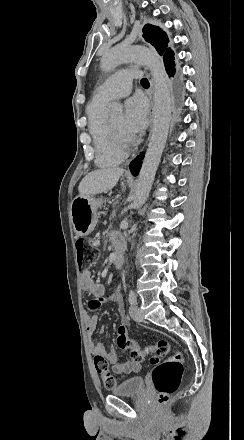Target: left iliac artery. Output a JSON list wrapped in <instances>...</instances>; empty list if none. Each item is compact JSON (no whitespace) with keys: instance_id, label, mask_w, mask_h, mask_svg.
Instances as JSON below:
<instances>
[{"instance_id":"1","label":"left iliac artery","mask_w":244,"mask_h":440,"mask_svg":"<svg viewBox=\"0 0 244 440\" xmlns=\"http://www.w3.org/2000/svg\"><path fill=\"white\" fill-rule=\"evenodd\" d=\"M128 300L131 305L137 304V298H136L134 291H132V290L129 291Z\"/></svg>"}]
</instances>
